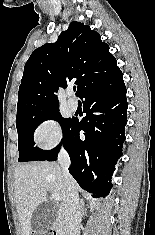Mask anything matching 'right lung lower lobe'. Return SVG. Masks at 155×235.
<instances>
[{
    "mask_svg": "<svg viewBox=\"0 0 155 235\" xmlns=\"http://www.w3.org/2000/svg\"><path fill=\"white\" fill-rule=\"evenodd\" d=\"M79 97L85 99L86 117L82 121L73 119L63 142L71 159L69 172L93 197H105L112 187L111 175L125 140L128 104L122 72L118 69L93 82ZM80 130L85 140L80 139ZM57 153L45 160H57Z\"/></svg>",
    "mask_w": 155,
    "mask_h": 235,
    "instance_id": "98d812e1",
    "label": "right lung lower lobe"
}]
</instances>
